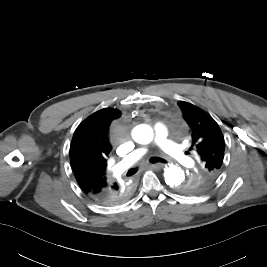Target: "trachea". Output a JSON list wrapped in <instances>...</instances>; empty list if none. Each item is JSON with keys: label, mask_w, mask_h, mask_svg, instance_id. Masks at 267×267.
Wrapping results in <instances>:
<instances>
[{"label": "trachea", "mask_w": 267, "mask_h": 267, "mask_svg": "<svg viewBox=\"0 0 267 267\" xmlns=\"http://www.w3.org/2000/svg\"><path fill=\"white\" fill-rule=\"evenodd\" d=\"M150 162H151V163H166V160H164L163 158H160V157H152V158L150 159ZM136 171H137L136 168H131V169L127 172V175H128V176H131V175L135 174Z\"/></svg>", "instance_id": "trachea-1"}]
</instances>
